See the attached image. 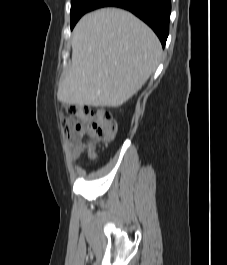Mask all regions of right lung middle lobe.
<instances>
[{
  "mask_svg": "<svg viewBox=\"0 0 227 265\" xmlns=\"http://www.w3.org/2000/svg\"><path fill=\"white\" fill-rule=\"evenodd\" d=\"M97 0H71L70 25L75 26L80 17L91 11Z\"/></svg>",
  "mask_w": 227,
  "mask_h": 265,
  "instance_id": "right-lung-middle-lobe-1",
  "label": "right lung middle lobe"
}]
</instances>
